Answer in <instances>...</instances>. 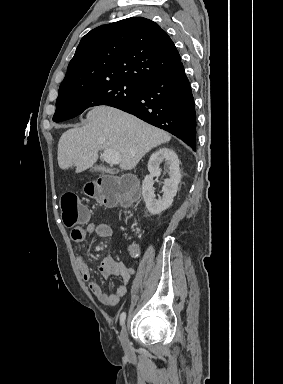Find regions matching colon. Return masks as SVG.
<instances>
[{
    "label": "colon",
    "mask_w": 283,
    "mask_h": 384,
    "mask_svg": "<svg viewBox=\"0 0 283 384\" xmlns=\"http://www.w3.org/2000/svg\"><path fill=\"white\" fill-rule=\"evenodd\" d=\"M133 188L134 181L131 178L106 176L86 184L85 193L105 206H116L131 200ZM61 209L63 223L69 228L85 223L89 218L88 211L79 204L74 193L62 196Z\"/></svg>",
    "instance_id": "5ec220e1"
}]
</instances>
